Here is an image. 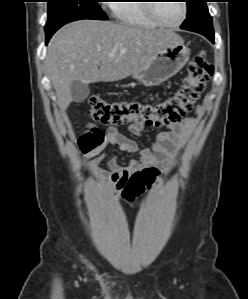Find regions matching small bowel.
Segmentation results:
<instances>
[{"label": "small bowel", "mask_w": 248, "mask_h": 299, "mask_svg": "<svg viewBox=\"0 0 248 299\" xmlns=\"http://www.w3.org/2000/svg\"><path fill=\"white\" fill-rule=\"evenodd\" d=\"M193 126V118L167 123L166 130L156 136L152 146L144 148L132 138L120 133L115 127L101 130L91 126L84 132L80 144L85 158L91 159L88 163L90 175L100 181L91 186L92 190L99 195L104 192H121V185L141 164L150 167L158 166L165 173L171 172L176 166V157L192 132ZM147 127L145 123L134 122L130 125V132L134 136H142ZM109 146L124 153L136 154L141 162L132 160L126 166H119L115 159H111L108 162V169H102L99 164L104 158L105 149ZM108 181H111V184L105 185Z\"/></svg>", "instance_id": "small-bowel-1"}]
</instances>
